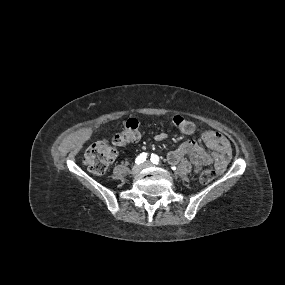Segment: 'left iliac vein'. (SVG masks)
<instances>
[{"label":"left iliac vein","mask_w":285,"mask_h":285,"mask_svg":"<svg viewBox=\"0 0 285 285\" xmlns=\"http://www.w3.org/2000/svg\"><path fill=\"white\" fill-rule=\"evenodd\" d=\"M152 166H153V164H152L151 162H145V163L142 165L143 168H149V167H152Z\"/></svg>","instance_id":"left-iliac-vein-1"}]
</instances>
